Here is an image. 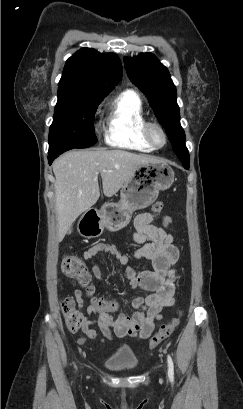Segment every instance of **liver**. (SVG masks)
<instances>
[{
	"label": "liver",
	"instance_id": "1",
	"mask_svg": "<svg viewBox=\"0 0 243 409\" xmlns=\"http://www.w3.org/2000/svg\"><path fill=\"white\" fill-rule=\"evenodd\" d=\"M154 161L157 160L118 149L69 151L56 159L52 167L56 178L58 241L63 240L78 216L99 199L98 174L104 195L112 197L140 166Z\"/></svg>",
	"mask_w": 243,
	"mask_h": 409
}]
</instances>
